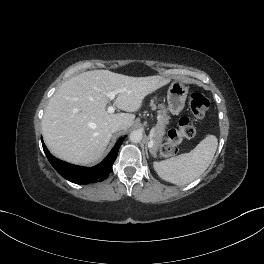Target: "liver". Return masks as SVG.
<instances>
[{
    "label": "liver",
    "instance_id": "1",
    "mask_svg": "<svg viewBox=\"0 0 264 264\" xmlns=\"http://www.w3.org/2000/svg\"><path fill=\"white\" fill-rule=\"evenodd\" d=\"M159 75L131 77L108 70L81 73L64 82L51 97L42 119L44 141L49 150L65 161L87 165L98 161L108 146L112 126L124 129L134 124L144 98L167 85ZM117 93L114 105L128 113H109V91Z\"/></svg>",
    "mask_w": 264,
    "mask_h": 264
}]
</instances>
